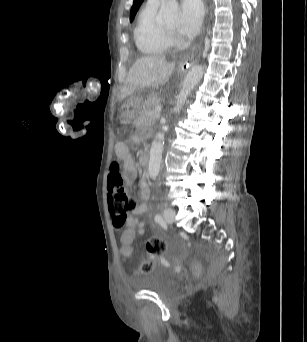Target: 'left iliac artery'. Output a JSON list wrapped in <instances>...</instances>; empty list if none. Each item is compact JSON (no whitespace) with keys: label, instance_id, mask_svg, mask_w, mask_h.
<instances>
[{"label":"left iliac artery","instance_id":"obj_1","mask_svg":"<svg viewBox=\"0 0 307 342\" xmlns=\"http://www.w3.org/2000/svg\"><path fill=\"white\" fill-rule=\"evenodd\" d=\"M155 221L158 222V223L162 222L163 219H162L161 215L157 214V215L155 216Z\"/></svg>","mask_w":307,"mask_h":342}]
</instances>
